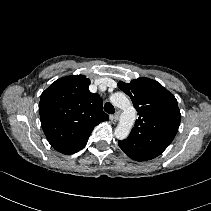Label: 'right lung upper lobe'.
Segmentation results:
<instances>
[{
    "label": "right lung upper lobe",
    "instance_id": "right-lung-upper-lobe-1",
    "mask_svg": "<svg viewBox=\"0 0 211 211\" xmlns=\"http://www.w3.org/2000/svg\"><path fill=\"white\" fill-rule=\"evenodd\" d=\"M84 75L56 80L42 94L39 103L43 131L51 146L63 154H73L87 143L93 128L109 120L102 99L88 89Z\"/></svg>",
    "mask_w": 211,
    "mask_h": 211
}]
</instances>
